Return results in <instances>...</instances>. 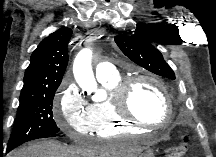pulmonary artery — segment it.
<instances>
[{
  "instance_id": "pulmonary-artery-1",
  "label": "pulmonary artery",
  "mask_w": 216,
  "mask_h": 157,
  "mask_svg": "<svg viewBox=\"0 0 216 157\" xmlns=\"http://www.w3.org/2000/svg\"><path fill=\"white\" fill-rule=\"evenodd\" d=\"M95 72L99 81L111 78L118 74L116 67L110 62H100L97 64Z\"/></svg>"
}]
</instances>
